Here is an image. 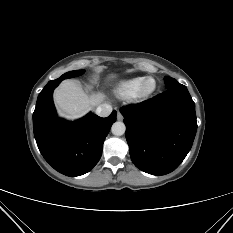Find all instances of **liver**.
<instances>
[{"mask_svg":"<svg viewBox=\"0 0 233 233\" xmlns=\"http://www.w3.org/2000/svg\"><path fill=\"white\" fill-rule=\"evenodd\" d=\"M104 99L102 93L86 94L72 80H64L54 91V102L59 113L69 120L83 117Z\"/></svg>","mask_w":233,"mask_h":233,"instance_id":"1","label":"liver"}]
</instances>
